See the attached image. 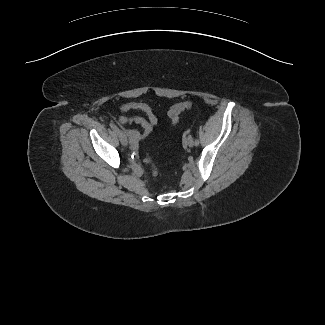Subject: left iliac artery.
<instances>
[{"label":"left iliac artery","instance_id":"obj_1","mask_svg":"<svg viewBox=\"0 0 325 325\" xmlns=\"http://www.w3.org/2000/svg\"><path fill=\"white\" fill-rule=\"evenodd\" d=\"M195 145H199V141L197 139H195Z\"/></svg>","mask_w":325,"mask_h":325}]
</instances>
